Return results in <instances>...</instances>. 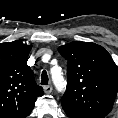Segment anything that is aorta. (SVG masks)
<instances>
[{
  "mask_svg": "<svg viewBox=\"0 0 118 118\" xmlns=\"http://www.w3.org/2000/svg\"><path fill=\"white\" fill-rule=\"evenodd\" d=\"M51 76L53 84L58 91H63L66 87V80L64 79L62 73L57 68L53 67L51 69Z\"/></svg>",
  "mask_w": 118,
  "mask_h": 118,
  "instance_id": "762f6f07",
  "label": "aorta"
}]
</instances>
